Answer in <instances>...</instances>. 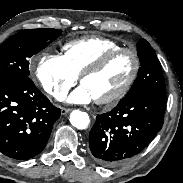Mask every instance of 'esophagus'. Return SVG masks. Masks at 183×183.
<instances>
[{"label":"esophagus","instance_id":"obj_1","mask_svg":"<svg viewBox=\"0 0 183 183\" xmlns=\"http://www.w3.org/2000/svg\"><path fill=\"white\" fill-rule=\"evenodd\" d=\"M70 111H71V109H69V108H62L61 109V114L65 115V114L69 113Z\"/></svg>","mask_w":183,"mask_h":183}]
</instances>
